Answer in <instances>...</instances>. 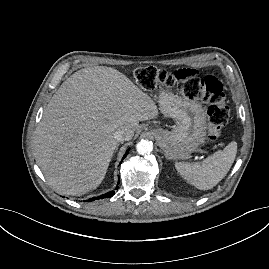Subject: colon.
Listing matches in <instances>:
<instances>
[{
	"label": "colon",
	"mask_w": 269,
	"mask_h": 269,
	"mask_svg": "<svg viewBox=\"0 0 269 269\" xmlns=\"http://www.w3.org/2000/svg\"><path fill=\"white\" fill-rule=\"evenodd\" d=\"M186 69H181L182 71ZM175 71V72H178ZM165 70L152 66L140 67L135 71L137 84L145 90H154L158 87H174L190 99H200L208 104V134L209 141L217 140L223 127L229 119V108L225 103V94L222 83L214 76L200 77L194 72L192 79L172 82Z\"/></svg>",
	"instance_id": "5ec220e1"
}]
</instances>
